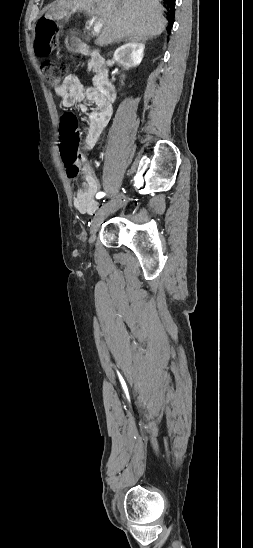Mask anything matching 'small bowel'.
Instances as JSON below:
<instances>
[{"instance_id":"c3829d8e","label":"small bowel","mask_w":253,"mask_h":548,"mask_svg":"<svg viewBox=\"0 0 253 548\" xmlns=\"http://www.w3.org/2000/svg\"><path fill=\"white\" fill-rule=\"evenodd\" d=\"M55 94L61 99L62 106L65 108H70L79 103L87 119L88 129L79 158L83 184L81 188L74 192L73 201L79 212L94 213L98 207V203L94 198L99 193V182L94 168L89 162L88 155L110 121L112 102L102 97L96 89L85 88L74 75H69L62 85L55 88ZM85 101L93 104L94 108L89 109L84 104Z\"/></svg>"}]
</instances>
